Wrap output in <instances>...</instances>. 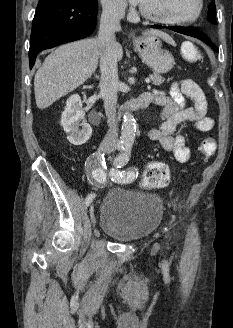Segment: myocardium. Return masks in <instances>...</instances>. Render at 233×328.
<instances>
[{
	"mask_svg": "<svg viewBox=\"0 0 233 328\" xmlns=\"http://www.w3.org/2000/svg\"><path fill=\"white\" fill-rule=\"evenodd\" d=\"M204 9V2L203 0H196V10L194 14L186 19H166L161 18L155 15H152L145 11L141 6L139 7L140 14L143 18L161 25H167V26H184V25H190L195 23L202 15Z\"/></svg>",
	"mask_w": 233,
	"mask_h": 328,
	"instance_id": "obj_1",
	"label": "myocardium"
}]
</instances>
